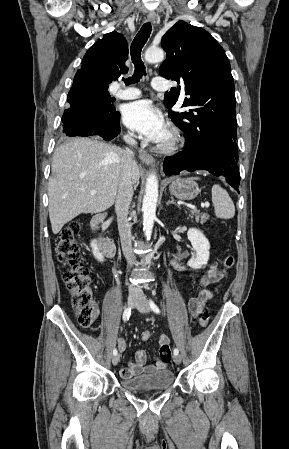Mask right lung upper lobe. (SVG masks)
Instances as JSON below:
<instances>
[{
  "label": "right lung upper lobe",
  "mask_w": 289,
  "mask_h": 449,
  "mask_svg": "<svg viewBox=\"0 0 289 449\" xmlns=\"http://www.w3.org/2000/svg\"><path fill=\"white\" fill-rule=\"evenodd\" d=\"M128 58L126 40L117 32L103 35L91 46L82 60V68L77 71L74 82L87 85L92 93L108 88L121 73L128 71L124 62Z\"/></svg>",
  "instance_id": "1"
}]
</instances>
